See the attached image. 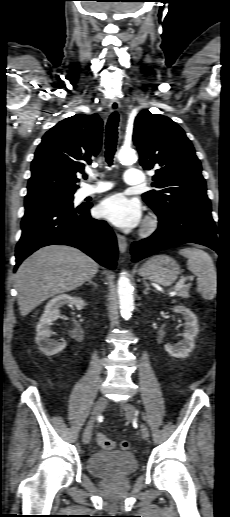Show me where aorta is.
Masks as SVG:
<instances>
[{
  "instance_id": "1",
  "label": "aorta",
  "mask_w": 230,
  "mask_h": 517,
  "mask_svg": "<svg viewBox=\"0 0 230 517\" xmlns=\"http://www.w3.org/2000/svg\"><path fill=\"white\" fill-rule=\"evenodd\" d=\"M121 163H134L136 153L131 148H121L117 154ZM118 297L121 315L125 320L130 319L134 308L133 287L126 272H122L118 279Z\"/></svg>"
}]
</instances>
